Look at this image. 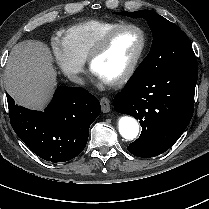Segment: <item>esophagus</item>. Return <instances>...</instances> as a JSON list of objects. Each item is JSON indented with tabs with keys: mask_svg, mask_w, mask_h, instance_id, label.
Returning a JSON list of instances; mask_svg holds the SVG:
<instances>
[{
	"mask_svg": "<svg viewBox=\"0 0 209 209\" xmlns=\"http://www.w3.org/2000/svg\"><path fill=\"white\" fill-rule=\"evenodd\" d=\"M100 104H101V108H102L103 113H107L110 111V101L108 98L102 97L100 99Z\"/></svg>",
	"mask_w": 209,
	"mask_h": 209,
	"instance_id": "1",
	"label": "esophagus"
}]
</instances>
